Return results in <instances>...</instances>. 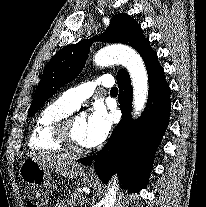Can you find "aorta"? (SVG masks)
I'll list each match as a JSON object with an SVG mask.
<instances>
[{
  "label": "aorta",
  "instance_id": "aorta-1",
  "mask_svg": "<svg viewBox=\"0 0 206 207\" xmlns=\"http://www.w3.org/2000/svg\"><path fill=\"white\" fill-rule=\"evenodd\" d=\"M94 62L98 66L117 63L128 70L133 85V114L135 117L139 116L146 105L148 97V75L140 55L127 46H109L96 53ZM117 190V182L112 180L108 185L103 207H114Z\"/></svg>",
  "mask_w": 206,
  "mask_h": 207
}]
</instances>
